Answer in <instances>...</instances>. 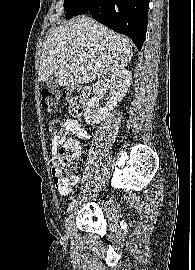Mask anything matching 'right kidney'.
<instances>
[{"label": "right kidney", "instance_id": "ca27d5eb", "mask_svg": "<svg viewBox=\"0 0 195 270\" xmlns=\"http://www.w3.org/2000/svg\"><path fill=\"white\" fill-rule=\"evenodd\" d=\"M132 80V74L128 70H120L97 81L93 86L94 96L91 97L84 108V118L87 124L94 126L105 119L117 106L127 93ZM110 89V99L104 107L99 106V97Z\"/></svg>", "mask_w": 195, "mask_h": 270}]
</instances>
